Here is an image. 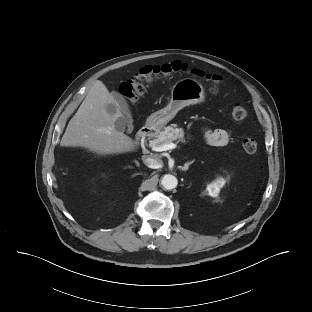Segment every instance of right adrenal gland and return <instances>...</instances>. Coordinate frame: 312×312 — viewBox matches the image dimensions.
<instances>
[{"label": "right adrenal gland", "instance_id": "1", "mask_svg": "<svg viewBox=\"0 0 312 312\" xmlns=\"http://www.w3.org/2000/svg\"><path fill=\"white\" fill-rule=\"evenodd\" d=\"M135 163H136L137 167H139V162L135 161Z\"/></svg>", "mask_w": 312, "mask_h": 312}]
</instances>
